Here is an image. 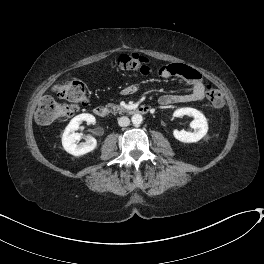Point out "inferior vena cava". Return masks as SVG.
Instances as JSON below:
<instances>
[{
    "instance_id": "inferior-vena-cava-1",
    "label": "inferior vena cava",
    "mask_w": 264,
    "mask_h": 264,
    "mask_svg": "<svg viewBox=\"0 0 264 264\" xmlns=\"http://www.w3.org/2000/svg\"><path fill=\"white\" fill-rule=\"evenodd\" d=\"M118 124L121 127H126V126H128L130 124V120H129L128 117H120L118 119Z\"/></svg>"
}]
</instances>
